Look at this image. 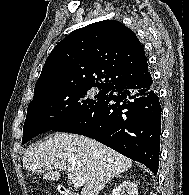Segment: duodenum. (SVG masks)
Returning a JSON list of instances; mask_svg holds the SVG:
<instances>
[{
    "label": "duodenum",
    "mask_w": 189,
    "mask_h": 195,
    "mask_svg": "<svg viewBox=\"0 0 189 195\" xmlns=\"http://www.w3.org/2000/svg\"><path fill=\"white\" fill-rule=\"evenodd\" d=\"M61 193H62V195H78L75 193L67 192V191L63 190L62 188H61Z\"/></svg>",
    "instance_id": "obj_1"
}]
</instances>
